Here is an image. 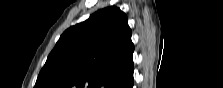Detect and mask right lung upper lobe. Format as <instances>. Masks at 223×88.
<instances>
[{
    "mask_svg": "<svg viewBox=\"0 0 223 88\" xmlns=\"http://www.w3.org/2000/svg\"><path fill=\"white\" fill-rule=\"evenodd\" d=\"M131 35L119 8L95 12L61 35L35 88H126L133 81Z\"/></svg>",
    "mask_w": 223,
    "mask_h": 88,
    "instance_id": "right-lung-upper-lobe-1",
    "label": "right lung upper lobe"
}]
</instances>
